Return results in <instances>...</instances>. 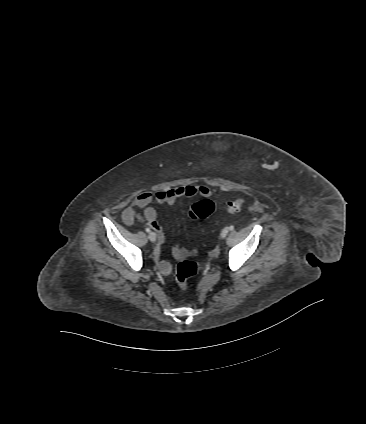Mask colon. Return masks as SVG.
<instances>
[{
	"mask_svg": "<svg viewBox=\"0 0 366 424\" xmlns=\"http://www.w3.org/2000/svg\"><path fill=\"white\" fill-rule=\"evenodd\" d=\"M245 203V199L240 197L231 201L227 205L229 213H236L241 210ZM214 211V204L209 199H203L192 205L188 211V215L192 219H204L210 216ZM197 272V264L191 259L190 255L182 258L175 268V278L179 288L185 291L188 288L189 279Z\"/></svg>",
	"mask_w": 366,
	"mask_h": 424,
	"instance_id": "colon-1",
	"label": "colon"
}]
</instances>
